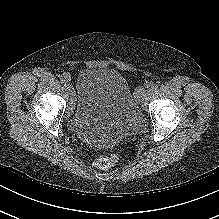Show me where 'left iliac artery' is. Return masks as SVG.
Listing matches in <instances>:
<instances>
[{
	"label": "left iliac artery",
	"instance_id": "1",
	"mask_svg": "<svg viewBox=\"0 0 219 219\" xmlns=\"http://www.w3.org/2000/svg\"><path fill=\"white\" fill-rule=\"evenodd\" d=\"M145 87H146V88H149V87H150V90H151V91H156V90L158 89V85H157V84L146 83V84H145Z\"/></svg>",
	"mask_w": 219,
	"mask_h": 219
}]
</instances>
